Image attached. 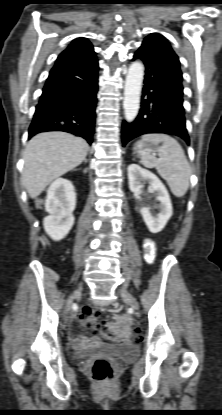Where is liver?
Masks as SVG:
<instances>
[{"mask_svg": "<svg viewBox=\"0 0 222 415\" xmlns=\"http://www.w3.org/2000/svg\"><path fill=\"white\" fill-rule=\"evenodd\" d=\"M89 149L81 137L46 132L33 137L24 152L22 184L31 198L39 196L56 178L84 161Z\"/></svg>", "mask_w": 222, "mask_h": 415, "instance_id": "liver-1", "label": "liver"}]
</instances>
